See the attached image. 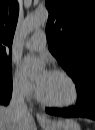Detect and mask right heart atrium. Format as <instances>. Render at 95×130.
<instances>
[{"instance_id":"1","label":"right heart atrium","mask_w":95,"mask_h":130,"mask_svg":"<svg viewBox=\"0 0 95 130\" xmlns=\"http://www.w3.org/2000/svg\"><path fill=\"white\" fill-rule=\"evenodd\" d=\"M12 91L16 96L28 99L33 96L35 87L19 70H15L12 76Z\"/></svg>"}]
</instances>
